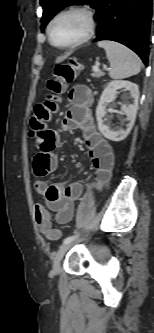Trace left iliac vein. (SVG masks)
I'll use <instances>...</instances> for the list:
<instances>
[{"label":"left iliac vein","mask_w":154,"mask_h":333,"mask_svg":"<svg viewBox=\"0 0 154 333\" xmlns=\"http://www.w3.org/2000/svg\"><path fill=\"white\" fill-rule=\"evenodd\" d=\"M72 244L73 243L71 241V242L63 244L59 248V250H58V252H57V254H56L55 258H54V261H53V274H57L59 272V270H60V262H61L63 256L65 255V253L71 248Z\"/></svg>","instance_id":"1"}]
</instances>
